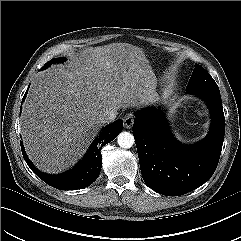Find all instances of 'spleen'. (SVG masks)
Wrapping results in <instances>:
<instances>
[{"instance_id":"obj_1","label":"spleen","mask_w":241,"mask_h":241,"mask_svg":"<svg viewBox=\"0 0 241 241\" xmlns=\"http://www.w3.org/2000/svg\"><path fill=\"white\" fill-rule=\"evenodd\" d=\"M176 137L178 138V139H180L181 137H180V135L178 134V133H176Z\"/></svg>"}]
</instances>
